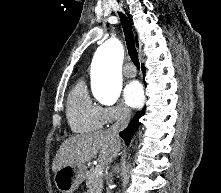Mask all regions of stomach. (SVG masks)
Instances as JSON below:
<instances>
[{
	"label": "stomach",
	"mask_w": 221,
	"mask_h": 193,
	"mask_svg": "<svg viewBox=\"0 0 221 193\" xmlns=\"http://www.w3.org/2000/svg\"><path fill=\"white\" fill-rule=\"evenodd\" d=\"M84 165H65L55 172L54 182L62 193H73L86 177Z\"/></svg>",
	"instance_id": "obj_1"
}]
</instances>
